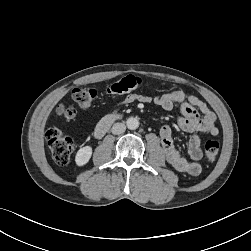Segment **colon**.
Here are the masks:
<instances>
[{
    "mask_svg": "<svg viewBox=\"0 0 251 251\" xmlns=\"http://www.w3.org/2000/svg\"><path fill=\"white\" fill-rule=\"evenodd\" d=\"M142 85V80L129 75L110 83L103 91L105 95L131 94ZM98 97V91L93 87H80L72 91V99L81 108H89ZM59 115L69 120L75 115V109L60 105ZM46 139L54 161L59 165L69 162L74 149L73 139L59 128L51 126L46 132ZM220 144L217 140H208L205 144V155L209 161H214L219 154Z\"/></svg>",
    "mask_w": 251,
    "mask_h": 251,
    "instance_id": "5ec220e1",
    "label": "colon"
}]
</instances>
